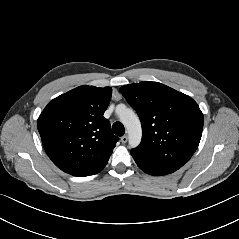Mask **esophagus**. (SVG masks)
<instances>
[{
	"label": "esophagus",
	"instance_id": "1",
	"mask_svg": "<svg viewBox=\"0 0 239 239\" xmlns=\"http://www.w3.org/2000/svg\"><path fill=\"white\" fill-rule=\"evenodd\" d=\"M127 141H128V136L127 135H124V136L121 137V142L123 144H125Z\"/></svg>",
	"mask_w": 239,
	"mask_h": 239
}]
</instances>
